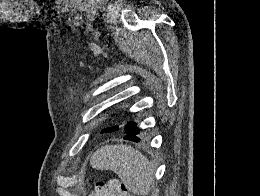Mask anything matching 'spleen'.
<instances>
[{
  "label": "spleen",
  "mask_w": 260,
  "mask_h": 196,
  "mask_svg": "<svg viewBox=\"0 0 260 196\" xmlns=\"http://www.w3.org/2000/svg\"><path fill=\"white\" fill-rule=\"evenodd\" d=\"M90 164L94 170H112L125 188L137 196H148L154 184L155 170L144 154L127 146H103L94 152Z\"/></svg>",
  "instance_id": "obj_1"
}]
</instances>
